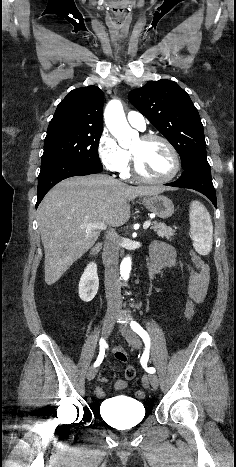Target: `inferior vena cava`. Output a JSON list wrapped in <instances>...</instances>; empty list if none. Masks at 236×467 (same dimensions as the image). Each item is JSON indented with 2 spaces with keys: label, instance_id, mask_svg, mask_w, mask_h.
I'll list each match as a JSON object with an SVG mask.
<instances>
[{
  "label": "inferior vena cava",
  "instance_id": "1",
  "mask_svg": "<svg viewBox=\"0 0 236 467\" xmlns=\"http://www.w3.org/2000/svg\"><path fill=\"white\" fill-rule=\"evenodd\" d=\"M119 244L116 233L108 232L104 242L103 258L105 263V293L108 307H120L121 284L119 279Z\"/></svg>",
  "mask_w": 236,
  "mask_h": 467
}]
</instances>
